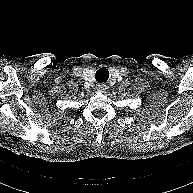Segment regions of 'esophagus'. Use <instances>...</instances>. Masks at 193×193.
Returning <instances> with one entry per match:
<instances>
[{
	"label": "esophagus",
	"instance_id": "obj_1",
	"mask_svg": "<svg viewBox=\"0 0 193 193\" xmlns=\"http://www.w3.org/2000/svg\"><path fill=\"white\" fill-rule=\"evenodd\" d=\"M106 85L105 84H103V83H99V84H97V90L98 91H100V92H104L105 90H106Z\"/></svg>",
	"mask_w": 193,
	"mask_h": 193
}]
</instances>
